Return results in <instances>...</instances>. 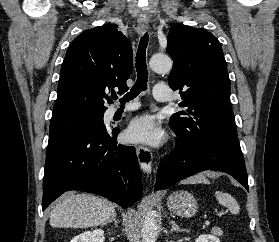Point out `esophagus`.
I'll list each match as a JSON object with an SVG mask.
<instances>
[{
	"label": "esophagus",
	"mask_w": 279,
	"mask_h": 242,
	"mask_svg": "<svg viewBox=\"0 0 279 242\" xmlns=\"http://www.w3.org/2000/svg\"><path fill=\"white\" fill-rule=\"evenodd\" d=\"M149 27L148 21H139L138 23V32L139 34H144ZM136 153L138 157V161L140 164L141 169L149 174L151 172V166H152V153L151 150L144 146V145H138L136 147Z\"/></svg>",
	"instance_id": "obj_1"
}]
</instances>
